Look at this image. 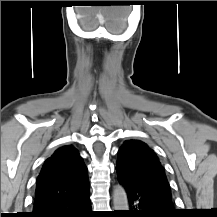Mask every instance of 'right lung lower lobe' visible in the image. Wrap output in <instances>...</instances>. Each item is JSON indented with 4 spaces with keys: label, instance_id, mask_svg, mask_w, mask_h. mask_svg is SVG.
<instances>
[{
    "label": "right lung lower lobe",
    "instance_id": "1",
    "mask_svg": "<svg viewBox=\"0 0 217 217\" xmlns=\"http://www.w3.org/2000/svg\"><path fill=\"white\" fill-rule=\"evenodd\" d=\"M29 217H93L89 191L78 197L61 200L40 211L32 212Z\"/></svg>",
    "mask_w": 217,
    "mask_h": 217
}]
</instances>
